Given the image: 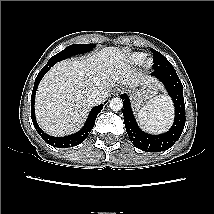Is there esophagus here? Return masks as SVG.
Returning <instances> with one entry per match:
<instances>
[{
	"instance_id": "34e87169",
	"label": "esophagus",
	"mask_w": 214,
	"mask_h": 214,
	"mask_svg": "<svg viewBox=\"0 0 214 214\" xmlns=\"http://www.w3.org/2000/svg\"><path fill=\"white\" fill-rule=\"evenodd\" d=\"M122 89L121 88H116L114 93L115 95H119L121 93Z\"/></svg>"
}]
</instances>
